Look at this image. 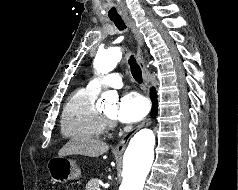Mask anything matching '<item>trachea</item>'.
Segmentation results:
<instances>
[{
	"mask_svg": "<svg viewBox=\"0 0 238 190\" xmlns=\"http://www.w3.org/2000/svg\"><path fill=\"white\" fill-rule=\"evenodd\" d=\"M111 21L114 22L115 26L119 29V30H124L125 29V25L124 22L122 21L121 18H112ZM129 65H130V70L131 73L134 77V79L138 82V83H142V71L139 67V65L136 63V60L133 56H131L128 60Z\"/></svg>",
	"mask_w": 238,
	"mask_h": 190,
	"instance_id": "1",
	"label": "trachea"
}]
</instances>
